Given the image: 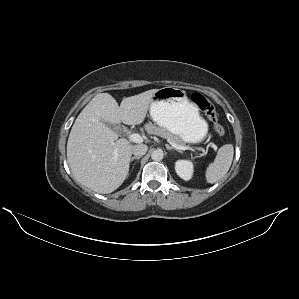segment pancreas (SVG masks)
<instances>
[{
	"instance_id": "obj_1",
	"label": "pancreas",
	"mask_w": 299,
	"mask_h": 299,
	"mask_svg": "<svg viewBox=\"0 0 299 299\" xmlns=\"http://www.w3.org/2000/svg\"><path fill=\"white\" fill-rule=\"evenodd\" d=\"M145 129L149 134L160 136L162 138L167 139L169 142L175 143L177 145H184L183 141L179 137L171 134L170 132H168L166 129L162 127L155 126L151 123H148L145 125Z\"/></svg>"
}]
</instances>
